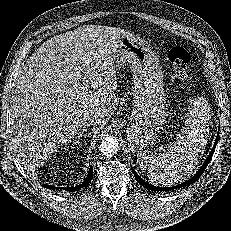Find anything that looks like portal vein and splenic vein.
<instances>
[{
    "instance_id": "obj_1",
    "label": "portal vein and splenic vein",
    "mask_w": 231,
    "mask_h": 231,
    "mask_svg": "<svg viewBox=\"0 0 231 231\" xmlns=\"http://www.w3.org/2000/svg\"><path fill=\"white\" fill-rule=\"evenodd\" d=\"M85 88H86V89L88 88V84H85Z\"/></svg>"
}]
</instances>
